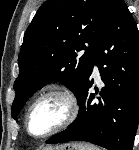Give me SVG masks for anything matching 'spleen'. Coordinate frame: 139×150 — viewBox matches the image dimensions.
I'll list each match as a JSON object with an SVG mask.
<instances>
[{
  "label": "spleen",
  "mask_w": 139,
  "mask_h": 150,
  "mask_svg": "<svg viewBox=\"0 0 139 150\" xmlns=\"http://www.w3.org/2000/svg\"><path fill=\"white\" fill-rule=\"evenodd\" d=\"M88 150H100V149L96 146H88Z\"/></svg>",
  "instance_id": "1"
}]
</instances>
